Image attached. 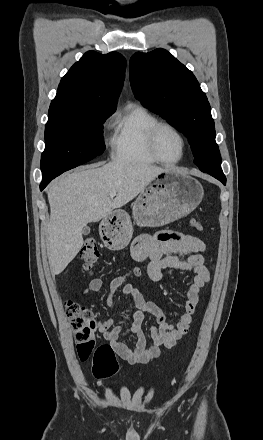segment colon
Masks as SVG:
<instances>
[{
    "label": "colon",
    "mask_w": 263,
    "mask_h": 440,
    "mask_svg": "<svg viewBox=\"0 0 263 440\" xmlns=\"http://www.w3.org/2000/svg\"><path fill=\"white\" fill-rule=\"evenodd\" d=\"M190 225L197 231H203L202 223L192 219ZM100 256L96 242L88 238L80 250V258L86 269H89ZM66 315L70 321L71 328L75 334L76 350L80 360L93 358V373L98 379H105L113 376L118 365L115 354L110 345H97L99 332L98 321L93 317L92 312L84 305L68 300L65 304Z\"/></svg>",
    "instance_id": "colon-1"
}]
</instances>
